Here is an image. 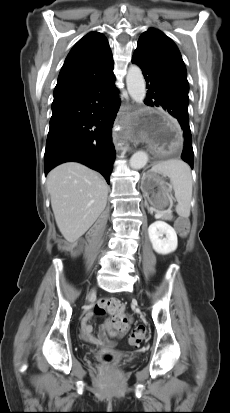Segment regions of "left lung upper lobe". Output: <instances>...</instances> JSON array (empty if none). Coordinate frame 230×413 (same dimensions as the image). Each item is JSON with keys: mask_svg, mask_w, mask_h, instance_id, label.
Wrapping results in <instances>:
<instances>
[{"mask_svg": "<svg viewBox=\"0 0 230 413\" xmlns=\"http://www.w3.org/2000/svg\"><path fill=\"white\" fill-rule=\"evenodd\" d=\"M133 57L162 72L180 91L188 96L189 85L185 64L175 43L163 32L150 28L139 40Z\"/></svg>", "mask_w": 230, "mask_h": 413, "instance_id": "1", "label": "left lung upper lobe"}]
</instances>
